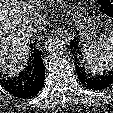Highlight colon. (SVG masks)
I'll list each match as a JSON object with an SVG mask.
<instances>
[{
  "label": "colon",
  "instance_id": "obj_1",
  "mask_svg": "<svg viewBox=\"0 0 113 113\" xmlns=\"http://www.w3.org/2000/svg\"><path fill=\"white\" fill-rule=\"evenodd\" d=\"M101 13L113 17V5L106 0H95Z\"/></svg>",
  "mask_w": 113,
  "mask_h": 113
}]
</instances>
